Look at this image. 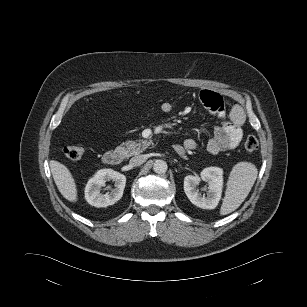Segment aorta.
I'll return each instance as SVG.
<instances>
[{"instance_id":"aorta-1","label":"aorta","mask_w":307,"mask_h":307,"mask_svg":"<svg viewBox=\"0 0 307 307\" xmlns=\"http://www.w3.org/2000/svg\"><path fill=\"white\" fill-rule=\"evenodd\" d=\"M168 165L163 160H156L153 166V170L157 174H163L167 171Z\"/></svg>"}]
</instances>
